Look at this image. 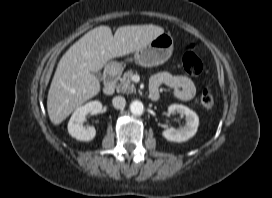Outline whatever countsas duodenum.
Masks as SVG:
<instances>
[{
  "instance_id": "1",
  "label": "duodenum",
  "mask_w": 272,
  "mask_h": 198,
  "mask_svg": "<svg viewBox=\"0 0 272 198\" xmlns=\"http://www.w3.org/2000/svg\"><path fill=\"white\" fill-rule=\"evenodd\" d=\"M121 76V69L117 67H111L107 69L105 73V84L103 86V93L105 95H112L115 91L116 84ZM151 97V96H150ZM153 98L158 97V92H154Z\"/></svg>"
}]
</instances>
